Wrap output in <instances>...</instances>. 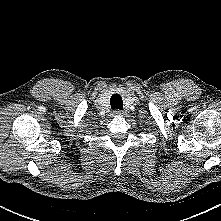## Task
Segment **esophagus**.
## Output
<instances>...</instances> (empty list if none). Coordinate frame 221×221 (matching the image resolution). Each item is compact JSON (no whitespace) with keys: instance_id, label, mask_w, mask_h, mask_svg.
<instances>
[{"instance_id":"obj_1","label":"esophagus","mask_w":221,"mask_h":221,"mask_svg":"<svg viewBox=\"0 0 221 221\" xmlns=\"http://www.w3.org/2000/svg\"><path fill=\"white\" fill-rule=\"evenodd\" d=\"M114 115H115V116H123L124 113H123V111H121V110H115V111H114Z\"/></svg>"}]
</instances>
